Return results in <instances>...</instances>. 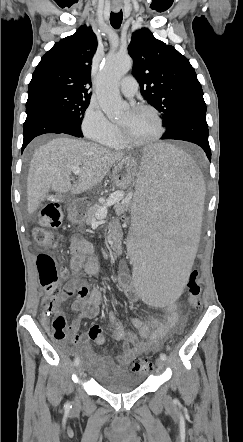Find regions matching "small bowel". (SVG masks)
I'll list each match as a JSON object with an SVG mask.
<instances>
[{
    "mask_svg": "<svg viewBox=\"0 0 243 442\" xmlns=\"http://www.w3.org/2000/svg\"><path fill=\"white\" fill-rule=\"evenodd\" d=\"M70 253L71 279L65 287L63 296L58 299L56 312L61 314V302L77 291V297L72 303L75 313L66 330L70 341L77 346L92 371L126 370L133 357L145 352L156 351L172 333L180 332V316L177 307L171 304L170 307H164V321L157 318L150 321H143L139 318L131 320L132 326L138 329L140 338L135 333L126 331L122 323L118 319H114L115 332L112 335V340L122 342V353L115 358L95 353L89 345L90 342L97 346L105 343L100 325L92 324L88 332L82 336L77 335V330L82 319L98 317L103 304L100 290L90 289L86 280L80 276L81 271L88 275H95L99 270V260L94 255L92 243L85 239H73L70 244ZM118 283L131 301L136 302L139 299V296H135L131 278L127 273L119 274ZM43 324L48 326L46 320H43Z\"/></svg>",
    "mask_w": 243,
    "mask_h": 442,
    "instance_id": "small-bowel-1",
    "label": "small bowel"
}]
</instances>
